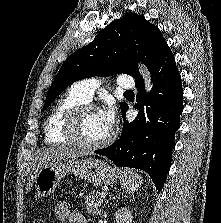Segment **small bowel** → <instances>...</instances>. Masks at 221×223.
<instances>
[{
  "mask_svg": "<svg viewBox=\"0 0 221 223\" xmlns=\"http://www.w3.org/2000/svg\"><path fill=\"white\" fill-rule=\"evenodd\" d=\"M55 216L60 223H88L79 211H71L67 202H60L56 205Z\"/></svg>",
  "mask_w": 221,
  "mask_h": 223,
  "instance_id": "c3829d8e",
  "label": "small bowel"
}]
</instances>
